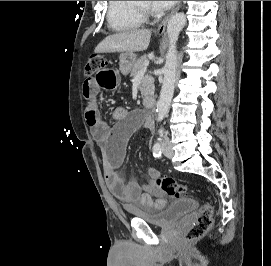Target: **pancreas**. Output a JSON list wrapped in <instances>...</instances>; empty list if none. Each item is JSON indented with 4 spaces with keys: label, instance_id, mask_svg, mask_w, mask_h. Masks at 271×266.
I'll list each match as a JSON object with an SVG mask.
<instances>
[{
    "label": "pancreas",
    "instance_id": "pancreas-1",
    "mask_svg": "<svg viewBox=\"0 0 271 266\" xmlns=\"http://www.w3.org/2000/svg\"><path fill=\"white\" fill-rule=\"evenodd\" d=\"M148 61L147 57L144 55L139 58L131 69V75H137L141 70L144 69V63ZM139 90L142 95H148L154 92V78L150 75H145L139 86Z\"/></svg>",
    "mask_w": 271,
    "mask_h": 266
}]
</instances>
